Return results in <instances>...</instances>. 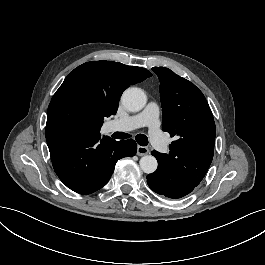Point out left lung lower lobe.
<instances>
[{"mask_svg":"<svg viewBox=\"0 0 265 265\" xmlns=\"http://www.w3.org/2000/svg\"><path fill=\"white\" fill-rule=\"evenodd\" d=\"M147 183L155 193L172 199L184 197L196 187L186 177L159 160L157 170L147 176Z\"/></svg>","mask_w":265,"mask_h":265,"instance_id":"left-lung-lower-lobe-1","label":"left lung lower lobe"}]
</instances>
